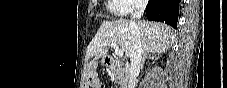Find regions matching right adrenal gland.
<instances>
[{
	"mask_svg": "<svg viewBox=\"0 0 227 88\" xmlns=\"http://www.w3.org/2000/svg\"><path fill=\"white\" fill-rule=\"evenodd\" d=\"M160 56L159 54H153V53H144V56H143V59H142V62H141V69H143L144 67V64H145V61L146 59H158Z\"/></svg>",
	"mask_w": 227,
	"mask_h": 88,
	"instance_id": "right-adrenal-gland-1",
	"label": "right adrenal gland"
}]
</instances>
